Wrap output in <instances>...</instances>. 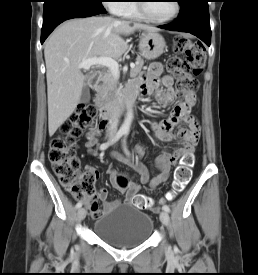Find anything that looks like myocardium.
I'll use <instances>...</instances> for the list:
<instances>
[{"instance_id":"1","label":"myocardium","mask_w":258,"mask_h":275,"mask_svg":"<svg viewBox=\"0 0 258 275\" xmlns=\"http://www.w3.org/2000/svg\"><path fill=\"white\" fill-rule=\"evenodd\" d=\"M139 2H143V1H139ZM174 3H175V11H174L173 15H171L170 17L164 18V19H156V18L152 17L148 13L145 3H137V9H138L139 13L147 20H149L153 23L162 24V23H167V22L174 20L180 14L181 6H180L179 1L175 0Z\"/></svg>"}]
</instances>
